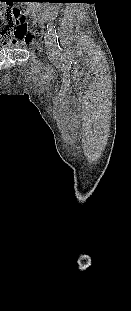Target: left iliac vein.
Wrapping results in <instances>:
<instances>
[{
  "label": "left iliac vein",
  "mask_w": 131,
  "mask_h": 311,
  "mask_svg": "<svg viewBox=\"0 0 131 311\" xmlns=\"http://www.w3.org/2000/svg\"><path fill=\"white\" fill-rule=\"evenodd\" d=\"M45 47H46V51H47L48 54H52L53 53V45L49 41L47 35L45 36Z\"/></svg>",
  "instance_id": "left-iliac-vein-1"
}]
</instances>
